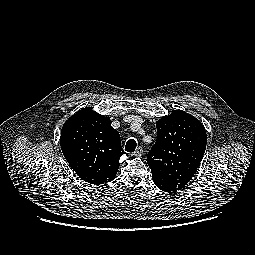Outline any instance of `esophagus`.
I'll return each instance as SVG.
<instances>
[{
  "label": "esophagus",
  "mask_w": 255,
  "mask_h": 255,
  "mask_svg": "<svg viewBox=\"0 0 255 255\" xmlns=\"http://www.w3.org/2000/svg\"><path fill=\"white\" fill-rule=\"evenodd\" d=\"M143 153H144L143 148H142V147H138V148L136 149V151L134 152V155H135L136 157H140V156L143 155Z\"/></svg>",
  "instance_id": "34e87169"
}]
</instances>
